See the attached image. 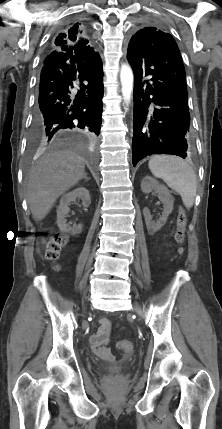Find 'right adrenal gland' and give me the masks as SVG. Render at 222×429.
Returning <instances> with one entry per match:
<instances>
[{
	"instance_id": "2a0ac1e0",
	"label": "right adrenal gland",
	"mask_w": 222,
	"mask_h": 429,
	"mask_svg": "<svg viewBox=\"0 0 222 429\" xmlns=\"http://www.w3.org/2000/svg\"><path fill=\"white\" fill-rule=\"evenodd\" d=\"M83 179H84L85 181H89V180H90V178H89V177H87V175H85V176L83 177Z\"/></svg>"
}]
</instances>
